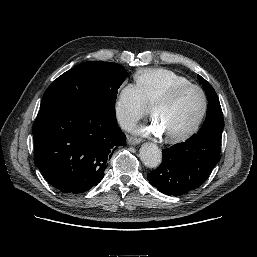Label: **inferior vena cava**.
<instances>
[{"instance_id": "inferior-vena-cava-1", "label": "inferior vena cava", "mask_w": 257, "mask_h": 257, "mask_svg": "<svg viewBox=\"0 0 257 257\" xmlns=\"http://www.w3.org/2000/svg\"><path fill=\"white\" fill-rule=\"evenodd\" d=\"M118 121L122 129L127 131L132 130L136 126V120L128 116H120Z\"/></svg>"}]
</instances>
